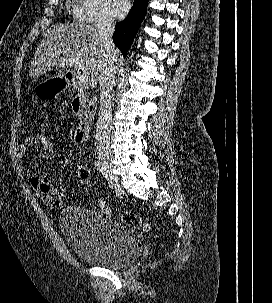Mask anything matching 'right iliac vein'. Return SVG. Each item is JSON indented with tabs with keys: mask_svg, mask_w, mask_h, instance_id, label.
Returning a JSON list of instances; mask_svg holds the SVG:
<instances>
[{
	"mask_svg": "<svg viewBox=\"0 0 272 303\" xmlns=\"http://www.w3.org/2000/svg\"><path fill=\"white\" fill-rule=\"evenodd\" d=\"M101 160H102L104 167L106 169H108L109 172H111L112 160L106 156H101ZM111 177H112L113 181L115 182L116 186L119 187L117 177L114 175H112Z\"/></svg>",
	"mask_w": 272,
	"mask_h": 303,
	"instance_id": "right-iliac-vein-1",
	"label": "right iliac vein"
}]
</instances>
